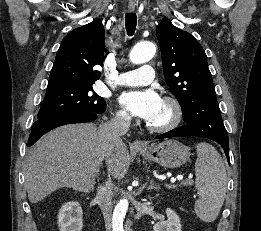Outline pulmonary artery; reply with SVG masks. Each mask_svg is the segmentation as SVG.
Segmentation results:
<instances>
[{
	"mask_svg": "<svg viewBox=\"0 0 261 231\" xmlns=\"http://www.w3.org/2000/svg\"><path fill=\"white\" fill-rule=\"evenodd\" d=\"M154 68L150 65L120 74L117 84L121 86H139L150 83L154 79Z\"/></svg>",
	"mask_w": 261,
	"mask_h": 231,
	"instance_id": "pulmonary-artery-1",
	"label": "pulmonary artery"
}]
</instances>
